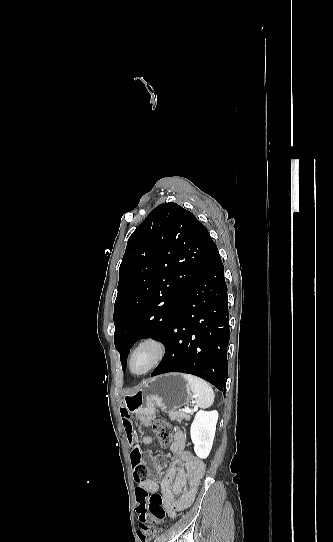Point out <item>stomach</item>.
<instances>
[{
  "mask_svg": "<svg viewBox=\"0 0 333 542\" xmlns=\"http://www.w3.org/2000/svg\"><path fill=\"white\" fill-rule=\"evenodd\" d=\"M191 396L189 384L182 374H163L148 380L138 392L126 394L123 402L130 414L154 420L156 408H161L162 412L178 410L190 402Z\"/></svg>",
  "mask_w": 333,
  "mask_h": 542,
  "instance_id": "1",
  "label": "stomach"
}]
</instances>
